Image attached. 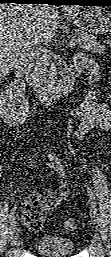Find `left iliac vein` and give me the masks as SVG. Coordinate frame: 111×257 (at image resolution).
I'll use <instances>...</instances> for the list:
<instances>
[{
	"label": "left iliac vein",
	"mask_w": 111,
	"mask_h": 257,
	"mask_svg": "<svg viewBox=\"0 0 111 257\" xmlns=\"http://www.w3.org/2000/svg\"><path fill=\"white\" fill-rule=\"evenodd\" d=\"M90 216L94 222H97L98 220L97 211L93 203L91 204Z\"/></svg>",
	"instance_id": "obj_1"
}]
</instances>
